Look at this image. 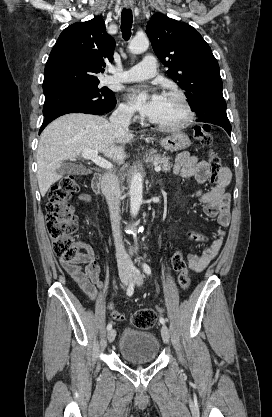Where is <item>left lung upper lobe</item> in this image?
Returning a JSON list of instances; mask_svg holds the SVG:
<instances>
[{
    "mask_svg": "<svg viewBox=\"0 0 272 417\" xmlns=\"http://www.w3.org/2000/svg\"><path fill=\"white\" fill-rule=\"evenodd\" d=\"M154 52L167 74L186 91L199 119L230 126L219 65L211 48L192 26L155 14L146 26Z\"/></svg>",
    "mask_w": 272,
    "mask_h": 417,
    "instance_id": "1",
    "label": "left lung upper lobe"
}]
</instances>
